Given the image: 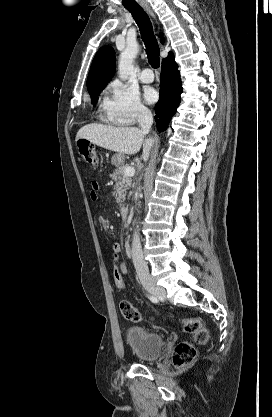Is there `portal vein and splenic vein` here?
Instances as JSON below:
<instances>
[{
  "label": "portal vein and splenic vein",
  "mask_w": 272,
  "mask_h": 417,
  "mask_svg": "<svg viewBox=\"0 0 272 417\" xmlns=\"http://www.w3.org/2000/svg\"><path fill=\"white\" fill-rule=\"evenodd\" d=\"M124 174L126 176H134L135 168L134 167H126L125 170H124Z\"/></svg>",
  "instance_id": "portal-vein-and-splenic-vein-1"
}]
</instances>
